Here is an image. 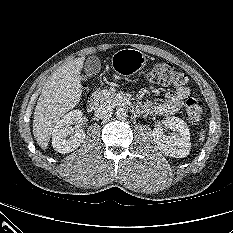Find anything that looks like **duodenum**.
<instances>
[{"instance_id": "1", "label": "duodenum", "mask_w": 233, "mask_h": 233, "mask_svg": "<svg viewBox=\"0 0 233 233\" xmlns=\"http://www.w3.org/2000/svg\"><path fill=\"white\" fill-rule=\"evenodd\" d=\"M98 104H99L98 97L93 95V96L89 97L87 100V109L89 111H93L97 108ZM131 109L133 112L139 111V108L137 106H131Z\"/></svg>"}]
</instances>
